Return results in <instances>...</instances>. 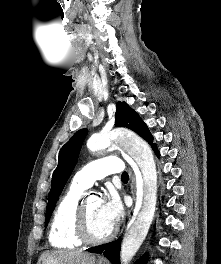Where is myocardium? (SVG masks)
I'll return each mask as SVG.
<instances>
[{"mask_svg": "<svg viewBox=\"0 0 221 264\" xmlns=\"http://www.w3.org/2000/svg\"><path fill=\"white\" fill-rule=\"evenodd\" d=\"M88 198L89 196H83L77 205L74 218L75 234L77 238L84 244L97 245L105 243L113 238L116 233V228L113 226L110 232L101 238H95L90 234L86 213V203Z\"/></svg>", "mask_w": 221, "mask_h": 264, "instance_id": "obj_1", "label": "myocardium"}]
</instances>
